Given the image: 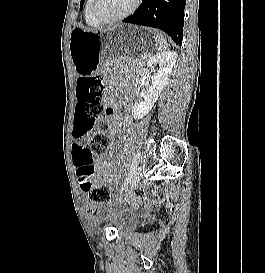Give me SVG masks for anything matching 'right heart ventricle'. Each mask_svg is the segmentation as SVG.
Segmentation results:
<instances>
[{
    "instance_id": "e07e8e85",
    "label": "right heart ventricle",
    "mask_w": 265,
    "mask_h": 273,
    "mask_svg": "<svg viewBox=\"0 0 265 273\" xmlns=\"http://www.w3.org/2000/svg\"><path fill=\"white\" fill-rule=\"evenodd\" d=\"M91 2L92 0H86L85 1V7H84V18L87 25L91 27H99L102 25L98 20H96L93 15L91 14Z\"/></svg>"
}]
</instances>
